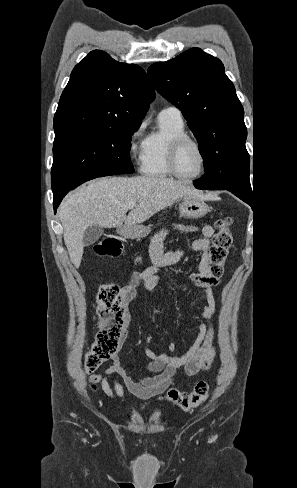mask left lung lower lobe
I'll use <instances>...</instances> for the list:
<instances>
[{
	"label": "left lung lower lobe",
	"mask_w": 297,
	"mask_h": 488,
	"mask_svg": "<svg viewBox=\"0 0 297 488\" xmlns=\"http://www.w3.org/2000/svg\"><path fill=\"white\" fill-rule=\"evenodd\" d=\"M226 190V189H225ZM230 191L231 193H233L234 195H236L237 197H239L241 200H243L244 202H246L247 204H249L250 206H252V202H253V196H243L235 191H232V190H228Z\"/></svg>",
	"instance_id": "0a47b994"
}]
</instances>
